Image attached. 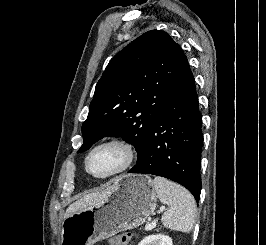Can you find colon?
Instances as JSON below:
<instances>
[{"instance_id":"5ec220e1","label":"colon","mask_w":266,"mask_h":245,"mask_svg":"<svg viewBox=\"0 0 266 245\" xmlns=\"http://www.w3.org/2000/svg\"><path fill=\"white\" fill-rule=\"evenodd\" d=\"M130 234L129 233H123V234H120L118 237H117V244L118 245H125L128 238H129Z\"/></svg>"}]
</instances>
